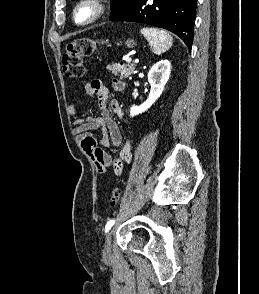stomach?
<instances>
[{"label": "stomach", "instance_id": "obj_1", "mask_svg": "<svg viewBox=\"0 0 259 294\" xmlns=\"http://www.w3.org/2000/svg\"><path fill=\"white\" fill-rule=\"evenodd\" d=\"M135 44L134 40H127L126 46L127 47H132Z\"/></svg>", "mask_w": 259, "mask_h": 294}]
</instances>
